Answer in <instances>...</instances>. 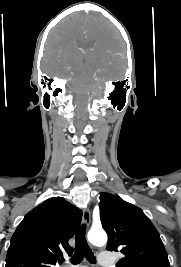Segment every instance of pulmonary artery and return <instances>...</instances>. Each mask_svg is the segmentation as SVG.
Segmentation results:
<instances>
[{
	"mask_svg": "<svg viewBox=\"0 0 181 267\" xmlns=\"http://www.w3.org/2000/svg\"><path fill=\"white\" fill-rule=\"evenodd\" d=\"M112 263H113V259L111 258L110 255H107L105 253H102L99 255L98 264L101 267H111Z\"/></svg>",
	"mask_w": 181,
	"mask_h": 267,
	"instance_id": "e3ab8cb5",
	"label": "pulmonary artery"
}]
</instances>
